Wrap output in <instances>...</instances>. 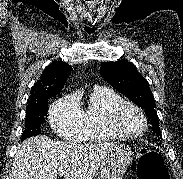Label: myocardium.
<instances>
[{
    "label": "myocardium",
    "instance_id": "obj_1",
    "mask_svg": "<svg viewBox=\"0 0 183 179\" xmlns=\"http://www.w3.org/2000/svg\"><path fill=\"white\" fill-rule=\"evenodd\" d=\"M126 108H132L139 113V115L143 121V125H142V128L140 131H138L136 133H126L120 128L119 118H120L122 112ZM106 123H107V126L110 129V131L112 133H114L116 136H118L119 138H136L145 132V130L147 129V125H148L147 117H146L144 111L142 110V108L133 102L124 101V100L117 103L110 109V111L108 112L107 117H106Z\"/></svg>",
    "mask_w": 183,
    "mask_h": 179
}]
</instances>
